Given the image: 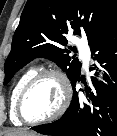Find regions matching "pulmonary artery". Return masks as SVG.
<instances>
[{"mask_svg": "<svg viewBox=\"0 0 117 136\" xmlns=\"http://www.w3.org/2000/svg\"><path fill=\"white\" fill-rule=\"evenodd\" d=\"M78 48H79L80 55L84 61V64L87 67L89 59H90V50L86 46V44L82 41L78 43Z\"/></svg>", "mask_w": 117, "mask_h": 136, "instance_id": "pulmonary-artery-1", "label": "pulmonary artery"}]
</instances>
